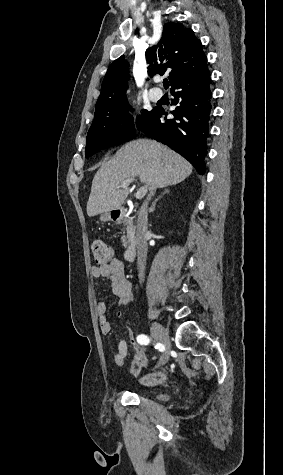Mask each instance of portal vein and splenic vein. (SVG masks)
<instances>
[{"label":"portal vein and splenic vein","instance_id":"1","mask_svg":"<svg viewBox=\"0 0 283 475\" xmlns=\"http://www.w3.org/2000/svg\"><path fill=\"white\" fill-rule=\"evenodd\" d=\"M132 182H135V178H127V180H124V182H122L119 188H127V186H130ZM146 192H147V186H142V188H139L138 192H136L137 200H141V198H144Z\"/></svg>","mask_w":283,"mask_h":475}]
</instances>
